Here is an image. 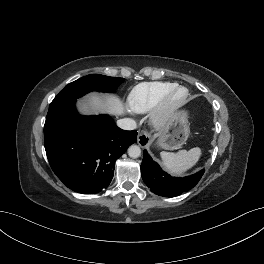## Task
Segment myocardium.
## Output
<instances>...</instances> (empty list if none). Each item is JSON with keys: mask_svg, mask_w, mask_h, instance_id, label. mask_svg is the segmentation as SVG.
<instances>
[{"mask_svg": "<svg viewBox=\"0 0 264 264\" xmlns=\"http://www.w3.org/2000/svg\"><path fill=\"white\" fill-rule=\"evenodd\" d=\"M181 90L184 91V96L175 100V95ZM188 96L189 91L184 86L175 85L169 89L152 109L151 120L154 126L157 128L166 126L177 111L186 104Z\"/></svg>", "mask_w": 264, "mask_h": 264, "instance_id": "obj_1", "label": "myocardium"}]
</instances>
